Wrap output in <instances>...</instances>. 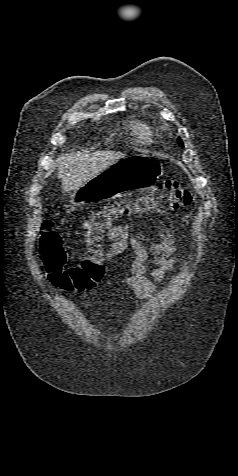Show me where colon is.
Returning a JSON list of instances; mask_svg holds the SVG:
<instances>
[{"instance_id":"colon-1","label":"colon","mask_w":238,"mask_h":476,"mask_svg":"<svg viewBox=\"0 0 238 476\" xmlns=\"http://www.w3.org/2000/svg\"><path fill=\"white\" fill-rule=\"evenodd\" d=\"M192 201V193L178 181L166 180L154 185L145 195L107 207L96 213L85 225L87 256L77 265L68 268L64 267L66 252L62 238L53 230L52 222L45 220L38 252L49 281L64 291L91 289L102 279L105 272L101 243L113 222L133 215L170 213L190 205Z\"/></svg>"}]
</instances>
